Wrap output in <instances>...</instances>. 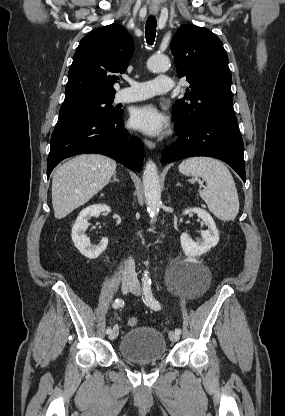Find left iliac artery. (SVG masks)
Segmentation results:
<instances>
[{"mask_svg":"<svg viewBox=\"0 0 285 416\" xmlns=\"http://www.w3.org/2000/svg\"><path fill=\"white\" fill-rule=\"evenodd\" d=\"M143 292H144V303L154 310L161 309V305L158 300L153 296L151 289V279L147 274L143 278ZM176 334H181V329H175Z\"/></svg>","mask_w":285,"mask_h":416,"instance_id":"1","label":"left iliac artery"}]
</instances>
